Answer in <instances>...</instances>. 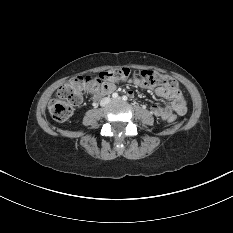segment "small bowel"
Instances as JSON below:
<instances>
[{
    "mask_svg": "<svg viewBox=\"0 0 233 233\" xmlns=\"http://www.w3.org/2000/svg\"><path fill=\"white\" fill-rule=\"evenodd\" d=\"M136 79H137V74L131 73L130 76L126 77V82L132 83L133 80H136ZM135 82L143 87H147V85H145L142 82H139V81H135ZM114 89H115V86L104 91V93H109L113 91ZM154 91L157 96L168 101V104L164 107L158 106L156 104L151 106L150 111L154 116L161 118L163 120H168L170 118H175L177 115L182 116L186 113L187 104H186L184 97L179 91L172 92L163 87L156 88Z\"/></svg>",
    "mask_w": 233,
    "mask_h": 233,
    "instance_id": "small-bowel-1",
    "label": "small bowel"
}]
</instances>
